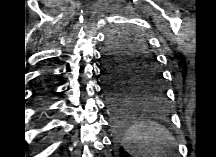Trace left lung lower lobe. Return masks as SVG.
Segmentation results:
<instances>
[{"label": "left lung lower lobe", "instance_id": "1", "mask_svg": "<svg viewBox=\"0 0 216 157\" xmlns=\"http://www.w3.org/2000/svg\"><path fill=\"white\" fill-rule=\"evenodd\" d=\"M103 76V86L114 116V128L117 133L123 135L134 122L132 104L135 97L131 91H126L119 83L111 81L105 66V57Z\"/></svg>", "mask_w": 216, "mask_h": 157}]
</instances>
